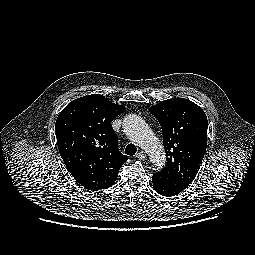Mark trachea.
<instances>
[{"instance_id":"1","label":"trachea","mask_w":255,"mask_h":255,"mask_svg":"<svg viewBox=\"0 0 255 255\" xmlns=\"http://www.w3.org/2000/svg\"><path fill=\"white\" fill-rule=\"evenodd\" d=\"M136 151H137L136 146L134 144H129L125 149V154L133 156L135 155Z\"/></svg>"}]
</instances>
